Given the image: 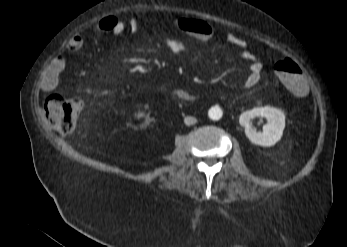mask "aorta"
<instances>
[{
  "mask_svg": "<svg viewBox=\"0 0 347 247\" xmlns=\"http://www.w3.org/2000/svg\"><path fill=\"white\" fill-rule=\"evenodd\" d=\"M208 115L212 120H219L222 117V110L220 108H211Z\"/></svg>",
  "mask_w": 347,
  "mask_h": 247,
  "instance_id": "aorta-1",
  "label": "aorta"
}]
</instances>
